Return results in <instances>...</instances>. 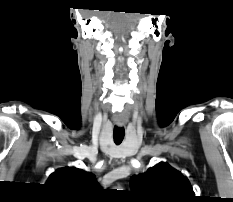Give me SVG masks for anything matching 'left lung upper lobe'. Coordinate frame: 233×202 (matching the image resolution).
Segmentation results:
<instances>
[{
  "label": "left lung upper lobe",
  "instance_id": "1",
  "mask_svg": "<svg viewBox=\"0 0 233 202\" xmlns=\"http://www.w3.org/2000/svg\"><path fill=\"white\" fill-rule=\"evenodd\" d=\"M131 188L145 202H192L195 194L188 179L167 163L131 178Z\"/></svg>",
  "mask_w": 233,
  "mask_h": 202
}]
</instances>
